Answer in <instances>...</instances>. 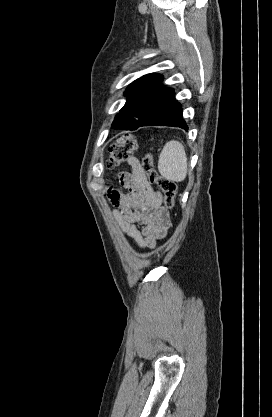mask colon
Here are the masks:
<instances>
[{"label":"colon","instance_id":"obj_1","mask_svg":"<svg viewBox=\"0 0 272 417\" xmlns=\"http://www.w3.org/2000/svg\"><path fill=\"white\" fill-rule=\"evenodd\" d=\"M138 142L134 135L125 134L109 149L108 167L114 168L119 166L124 160L136 151ZM141 168L151 184L160 187L164 195V204L167 210H172L175 206V197L177 194V184L160 175L154 167L153 158L148 153L142 160Z\"/></svg>","mask_w":272,"mask_h":417}]
</instances>
